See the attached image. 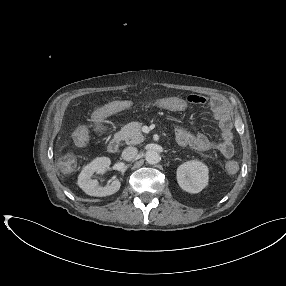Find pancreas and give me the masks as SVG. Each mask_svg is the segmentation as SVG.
Listing matches in <instances>:
<instances>
[{
  "label": "pancreas",
  "mask_w": 286,
  "mask_h": 286,
  "mask_svg": "<svg viewBox=\"0 0 286 286\" xmlns=\"http://www.w3.org/2000/svg\"><path fill=\"white\" fill-rule=\"evenodd\" d=\"M141 127L142 123L139 122L128 123L116 133L115 137L119 140H124L128 145L139 144L145 140Z\"/></svg>",
  "instance_id": "1"
}]
</instances>
